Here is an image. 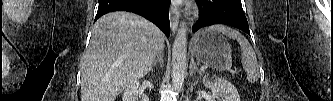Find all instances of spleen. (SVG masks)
<instances>
[{"label":"spleen","mask_w":333,"mask_h":101,"mask_svg":"<svg viewBox=\"0 0 333 101\" xmlns=\"http://www.w3.org/2000/svg\"><path fill=\"white\" fill-rule=\"evenodd\" d=\"M207 30L220 32L234 40H237L242 50L241 61L247 73V80L251 83L257 82L259 78L257 58L248 40L238 31L224 25H214L209 27Z\"/></svg>","instance_id":"1"}]
</instances>
